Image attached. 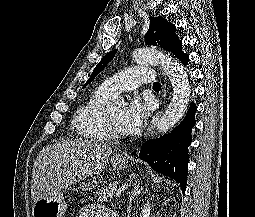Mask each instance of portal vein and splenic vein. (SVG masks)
Listing matches in <instances>:
<instances>
[{"label": "portal vein and splenic vein", "instance_id": "18ae733b", "mask_svg": "<svg viewBox=\"0 0 255 217\" xmlns=\"http://www.w3.org/2000/svg\"><path fill=\"white\" fill-rule=\"evenodd\" d=\"M125 189H127V185H123L121 186L117 192H116V196L120 195L122 191H124ZM113 196V194L111 195V197Z\"/></svg>", "mask_w": 255, "mask_h": 217}]
</instances>
